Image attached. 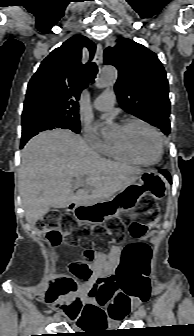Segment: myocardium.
Masks as SVG:
<instances>
[{"label":"myocardium","mask_w":194,"mask_h":336,"mask_svg":"<svg viewBox=\"0 0 194 336\" xmlns=\"http://www.w3.org/2000/svg\"><path fill=\"white\" fill-rule=\"evenodd\" d=\"M133 125H143L145 127H147L148 129H150L156 136L157 140H158V144H159V151H158V156L155 160L153 161H144L141 158H139L131 149L130 147L123 141H118L115 142V144L127 155L129 156L131 159H133L134 161H136L137 163L146 165V166H153L156 165L157 163L160 162V160L163 157L164 154V141H163V137L161 135V133L159 132V130L152 125L151 123L142 120V119H128L126 120L123 125L121 126V129L126 130L128 128H130Z\"/></svg>","instance_id":"f54148a6"}]
</instances>
